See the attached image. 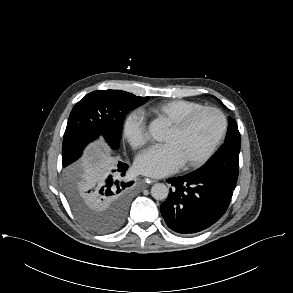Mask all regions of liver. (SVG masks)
I'll use <instances>...</instances> for the list:
<instances>
[{
  "mask_svg": "<svg viewBox=\"0 0 293 293\" xmlns=\"http://www.w3.org/2000/svg\"><path fill=\"white\" fill-rule=\"evenodd\" d=\"M104 157V155L101 153L100 149L94 148L92 155L88 158L89 161H94L96 158Z\"/></svg>",
  "mask_w": 293,
  "mask_h": 293,
  "instance_id": "obj_1",
  "label": "liver"
}]
</instances>
